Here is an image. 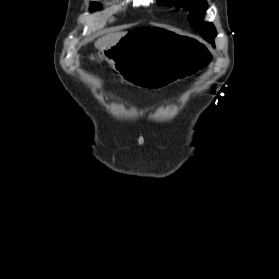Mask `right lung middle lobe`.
Returning <instances> with one entry per match:
<instances>
[{
    "instance_id": "obj_1",
    "label": "right lung middle lobe",
    "mask_w": 279,
    "mask_h": 279,
    "mask_svg": "<svg viewBox=\"0 0 279 279\" xmlns=\"http://www.w3.org/2000/svg\"><path fill=\"white\" fill-rule=\"evenodd\" d=\"M91 8L93 9V10H96V9H99L100 8V5L98 4V3H92L91 4Z\"/></svg>"
}]
</instances>
